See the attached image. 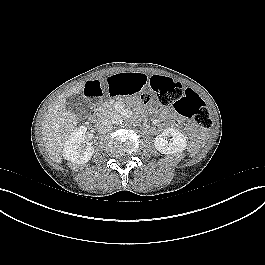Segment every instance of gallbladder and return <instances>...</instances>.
<instances>
[{
	"label": "gallbladder",
	"mask_w": 265,
	"mask_h": 265,
	"mask_svg": "<svg viewBox=\"0 0 265 265\" xmlns=\"http://www.w3.org/2000/svg\"><path fill=\"white\" fill-rule=\"evenodd\" d=\"M66 108L75 113L78 119H86L89 115V103L81 95H71L66 99Z\"/></svg>",
	"instance_id": "obj_1"
}]
</instances>
